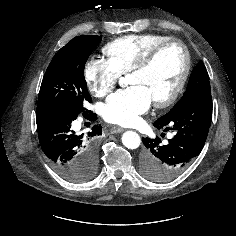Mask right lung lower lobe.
<instances>
[{
	"mask_svg": "<svg viewBox=\"0 0 236 236\" xmlns=\"http://www.w3.org/2000/svg\"><path fill=\"white\" fill-rule=\"evenodd\" d=\"M79 114L90 121L97 119L90 110L75 113L47 105L37 106L36 109L41 148L55 170L71 182H80L82 167L93 157L97 158L98 136L102 132L101 126L95 125L87 135L75 133L72 122Z\"/></svg>",
	"mask_w": 236,
	"mask_h": 236,
	"instance_id": "right-lung-lower-lobe-1",
	"label": "right lung lower lobe"
}]
</instances>
